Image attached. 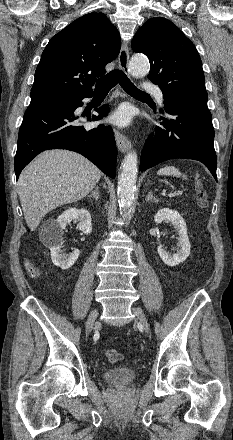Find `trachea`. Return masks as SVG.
Instances as JSON below:
<instances>
[{"label": "trachea", "instance_id": "1", "mask_svg": "<svg viewBox=\"0 0 233 440\" xmlns=\"http://www.w3.org/2000/svg\"><path fill=\"white\" fill-rule=\"evenodd\" d=\"M117 83L130 95L149 97V94L138 89L126 76L123 71L114 70L107 75L103 76L97 81L96 89L97 92H108Z\"/></svg>", "mask_w": 233, "mask_h": 440}]
</instances>
